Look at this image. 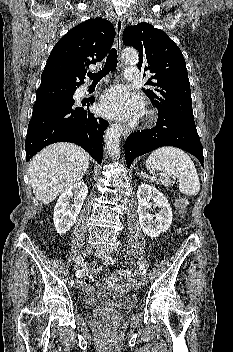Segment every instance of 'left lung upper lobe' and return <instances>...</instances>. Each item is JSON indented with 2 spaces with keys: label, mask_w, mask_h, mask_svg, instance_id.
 <instances>
[{
  "label": "left lung upper lobe",
  "mask_w": 233,
  "mask_h": 352,
  "mask_svg": "<svg viewBox=\"0 0 233 352\" xmlns=\"http://www.w3.org/2000/svg\"><path fill=\"white\" fill-rule=\"evenodd\" d=\"M123 43L138 50L137 67L151 74L146 82L151 88L143 92L158 111L194 120L186 63L175 42L164 31L143 22L125 28Z\"/></svg>",
  "instance_id": "left-lung-upper-lobe-1"
}]
</instances>
